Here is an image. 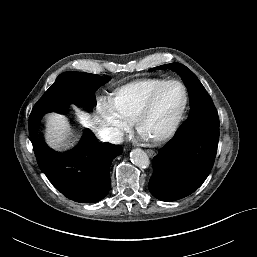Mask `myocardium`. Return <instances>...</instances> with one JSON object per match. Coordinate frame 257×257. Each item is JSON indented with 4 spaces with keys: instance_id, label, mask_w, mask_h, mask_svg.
<instances>
[{
    "instance_id": "myocardium-1",
    "label": "myocardium",
    "mask_w": 257,
    "mask_h": 257,
    "mask_svg": "<svg viewBox=\"0 0 257 257\" xmlns=\"http://www.w3.org/2000/svg\"><path fill=\"white\" fill-rule=\"evenodd\" d=\"M172 84H177L181 87L182 91H183V95H184V99H183V103L179 109V111L177 112V114L175 115V117L173 118L172 122L170 123V125L160 134L155 135V136H146L145 134H143V132L141 131V127H142V123L144 121V119L148 116V114L151 112V110L153 109L158 97L160 96L161 92L169 85ZM188 105V91L185 87V85L179 81V80H167L164 83H162L161 85H159L152 93L151 95L148 97V99L146 100V102L144 103V105L141 107V109L138 111V113L135 116V126L137 131L142 134L145 139L153 144H158L161 143L167 139H169L177 130L180 122L183 119V116L185 114L186 108Z\"/></svg>"
}]
</instances>
